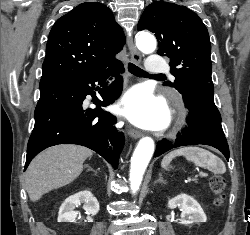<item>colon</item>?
<instances>
[{
    "mask_svg": "<svg viewBox=\"0 0 250 235\" xmlns=\"http://www.w3.org/2000/svg\"><path fill=\"white\" fill-rule=\"evenodd\" d=\"M210 187L213 193L216 196V203H220L222 201V193L225 188V181L224 179L219 175H214L210 179Z\"/></svg>",
    "mask_w": 250,
    "mask_h": 235,
    "instance_id": "obj_1",
    "label": "colon"
}]
</instances>
